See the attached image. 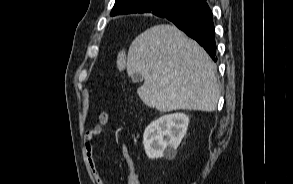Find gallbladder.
I'll return each instance as SVG.
<instances>
[{
    "instance_id": "bac80fb5",
    "label": "gallbladder",
    "mask_w": 293,
    "mask_h": 184,
    "mask_svg": "<svg viewBox=\"0 0 293 184\" xmlns=\"http://www.w3.org/2000/svg\"><path fill=\"white\" fill-rule=\"evenodd\" d=\"M131 78H132L133 83H139L143 80V77L140 73L133 74Z\"/></svg>"
}]
</instances>
